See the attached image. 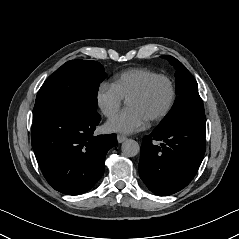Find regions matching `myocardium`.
<instances>
[{
    "mask_svg": "<svg viewBox=\"0 0 239 239\" xmlns=\"http://www.w3.org/2000/svg\"><path fill=\"white\" fill-rule=\"evenodd\" d=\"M158 81H163L167 84L168 90H169V95H168V99H167L166 104L164 105V107L161 110H159L158 112L154 113L153 115H151L147 118L149 121L158 120V119L164 117L172 107V104H173V101H174V98H175V89H174V85H173L172 81L170 80V78H168L167 76H164V75H158L156 77H153V78L149 79L136 92L131 94L127 99V103H128L132 100L141 98L142 96H144L148 92L150 87Z\"/></svg>",
    "mask_w": 239,
    "mask_h": 239,
    "instance_id": "obj_1",
    "label": "myocardium"
}]
</instances>
